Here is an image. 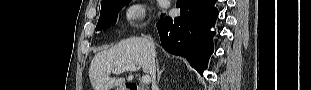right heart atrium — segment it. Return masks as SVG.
I'll use <instances>...</instances> for the list:
<instances>
[{
  "label": "right heart atrium",
  "mask_w": 311,
  "mask_h": 90,
  "mask_svg": "<svg viewBox=\"0 0 311 90\" xmlns=\"http://www.w3.org/2000/svg\"><path fill=\"white\" fill-rule=\"evenodd\" d=\"M145 16V9L139 4L129 6L125 11V19L128 25L134 26Z\"/></svg>",
  "instance_id": "d8ad5b80"
}]
</instances>
